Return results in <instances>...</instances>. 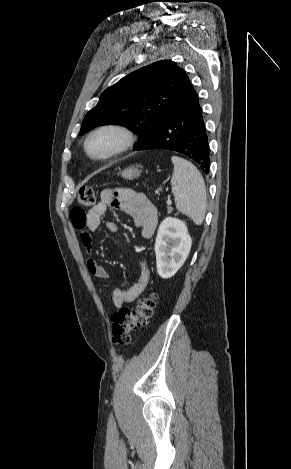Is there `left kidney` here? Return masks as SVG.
<instances>
[{"label":"left kidney","instance_id":"5707ae66","mask_svg":"<svg viewBox=\"0 0 291 469\" xmlns=\"http://www.w3.org/2000/svg\"><path fill=\"white\" fill-rule=\"evenodd\" d=\"M192 240L186 224L168 217L158 228L155 242L157 272L163 279L171 278L189 255Z\"/></svg>","mask_w":291,"mask_h":469}]
</instances>
